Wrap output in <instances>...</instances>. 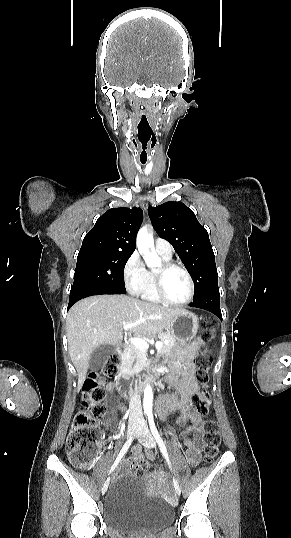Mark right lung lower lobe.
Returning <instances> with one entry per match:
<instances>
[{
	"instance_id": "1",
	"label": "right lung lower lobe",
	"mask_w": 291,
	"mask_h": 538,
	"mask_svg": "<svg viewBox=\"0 0 291 538\" xmlns=\"http://www.w3.org/2000/svg\"><path fill=\"white\" fill-rule=\"evenodd\" d=\"M101 294H122V293L115 292V291H96V290L77 292L70 295L67 310H69L73 304H75L77 301H79L82 298L93 296V295H101Z\"/></svg>"
}]
</instances>
